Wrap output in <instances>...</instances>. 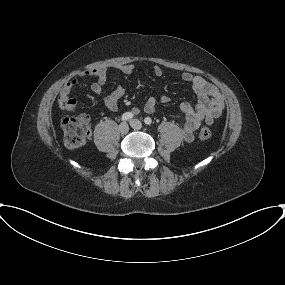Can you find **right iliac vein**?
Returning a JSON list of instances; mask_svg holds the SVG:
<instances>
[{"instance_id": "1", "label": "right iliac vein", "mask_w": 285, "mask_h": 285, "mask_svg": "<svg viewBox=\"0 0 285 285\" xmlns=\"http://www.w3.org/2000/svg\"><path fill=\"white\" fill-rule=\"evenodd\" d=\"M129 131V126L126 122H123L119 125V132L124 135L127 134Z\"/></svg>"}]
</instances>
